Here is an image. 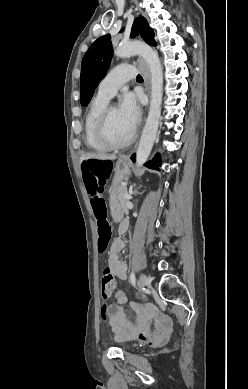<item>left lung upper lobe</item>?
Here are the masks:
<instances>
[{
	"instance_id": "obj_1",
	"label": "left lung upper lobe",
	"mask_w": 248,
	"mask_h": 389,
	"mask_svg": "<svg viewBox=\"0 0 248 389\" xmlns=\"http://www.w3.org/2000/svg\"><path fill=\"white\" fill-rule=\"evenodd\" d=\"M141 35L151 46H155L154 32L142 16L136 18L132 26L131 37ZM113 49L110 35L98 38L88 49L81 65L80 99L87 106L101 79L110 65Z\"/></svg>"
}]
</instances>
